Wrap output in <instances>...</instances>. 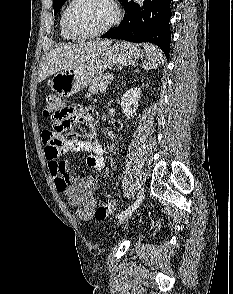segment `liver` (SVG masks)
Listing matches in <instances>:
<instances>
[{"label": "liver", "instance_id": "obj_1", "mask_svg": "<svg viewBox=\"0 0 233 294\" xmlns=\"http://www.w3.org/2000/svg\"><path fill=\"white\" fill-rule=\"evenodd\" d=\"M111 44L110 40L89 41L79 44L63 45L51 50L43 59L38 72V82L44 81L50 75L77 66L97 57Z\"/></svg>", "mask_w": 233, "mask_h": 294}]
</instances>
